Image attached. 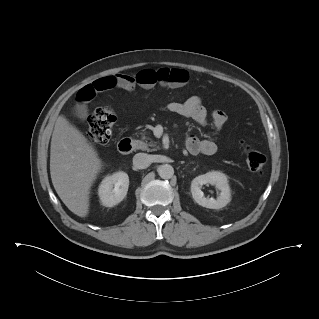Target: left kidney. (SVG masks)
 I'll return each instance as SVG.
<instances>
[{"label":"left kidney","mask_w":319,"mask_h":319,"mask_svg":"<svg viewBox=\"0 0 319 319\" xmlns=\"http://www.w3.org/2000/svg\"><path fill=\"white\" fill-rule=\"evenodd\" d=\"M215 185L220 190L217 199L206 198L201 190L202 185ZM191 193L193 199L201 206L210 209H220L225 207L231 200L230 188L227 176L218 171H211L195 177L191 182Z\"/></svg>","instance_id":"left-kidney-1"}]
</instances>
